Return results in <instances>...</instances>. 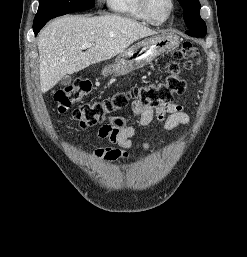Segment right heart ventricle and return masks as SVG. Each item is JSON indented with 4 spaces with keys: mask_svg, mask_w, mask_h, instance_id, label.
I'll return each mask as SVG.
<instances>
[{
    "mask_svg": "<svg viewBox=\"0 0 247 257\" xmlns=\"http://www.w3.org/2000/svg\"><path fill=\"white\" fill-rule=\"evenodd\" d=\"M106 4L116 14L150 23L142 10L140 0H106Z\"/></svg>",
    "mask_w": 247,
    "mask_h": 257,
    "instance_id": "obj_1",
    "label": "right heart ventricle"
}]
</instances>
